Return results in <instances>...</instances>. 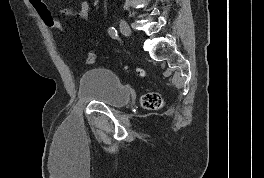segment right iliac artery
Listing matches in <instances>:
<instances>
[{
	"mask_svg": "<svg viewBox=\"0 0 264 178\" xmlns=\"http://www.w3.org/2000/svg\"><path fill=\"white\" fill-rule=\"evenodd\" d=\"M108 33L113 39H117L118 38L117 30L114 27H109L108 28Z\"/></svg>",
	"mask_w": 264,
	"mask_h": 178,
	"instance_id": "82829eb1",
	"label": "right iliac artery"
}]
</instances>
